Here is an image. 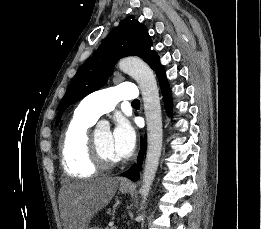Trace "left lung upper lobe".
Wrapping results in <instances>:
<instances>
[{
  "label": "left lung upper lobe",
  "mask_w": 261,
  "mask_h": 229,
  "mask_svg": "<svg viewBox=\"0 0 261 229\" xmlns=\"http://www.w3.org/2000/svg\"><path fill=\"white\" fill-rule=\"evenodd\" d=\"M151 46L152 41L146 26L133 17L121 21L95 54L78 69L59 104L57 123L68 106L104 86L114 64L123 57L139 56L156 74L164 70L158 54L150 49Z\"/></svg>",
  "instance_id": "1"
}]
</instances>
